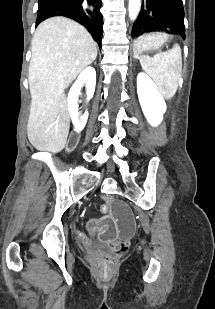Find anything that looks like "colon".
I'll return each mask as SVG.
<instances>
[{"label":"colon","instance_id":"obj_1","mask_svg":"<svg viewBox=\"0 0 215 309\" xmlns=\"http://www.w3.org/2000/svg\"><path fill=\"white\" fill-rule=\"evenodd\" d=\"M127 249V243L118 241L114 242L110 245V252L105 253V256L108 257H115L118 254H123L124 251Z\"/></svg>","mask_w":215,"mask_h":309}]
</instances>
